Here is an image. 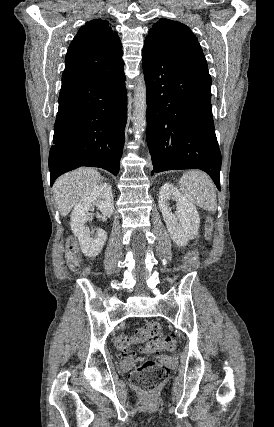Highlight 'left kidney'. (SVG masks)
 <instances>
[{
    "label": "left kidney",
    "mask_w": 274,
    "mask_h": 427,
    "mask_svg": "<svg viewBox=\"0 0 274 427\" xmlns=\"http://www.w3.org/2000/svg\"><path fill=\"white\" fill-rule=\"evenodd\" d=\"M159 194V208L171 239L176 245H187L189 239H194L198 235L200 225V217L194 204L186 200L173 184H164ZM169 200H175L176 214H172Z\"/></svg>",
    "instance_id": "left-kidney-1"
}]
</instances>
